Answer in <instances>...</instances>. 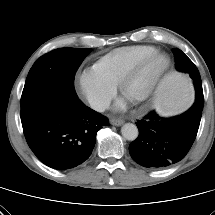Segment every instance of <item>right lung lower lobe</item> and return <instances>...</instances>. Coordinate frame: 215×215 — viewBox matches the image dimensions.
<instances>
[{
    "label": "right lung lower lobe",
    "instance_id": "right-lung-lower-lobe-1",
    "mask_svg": "<svg viewBox=\"0 0 215 215\" xmlns=\"http://www.w3.org/2000/svg\"><path fill=\"white\" fill-rule=\"evenodd\" d=\"M108 119L84 105L75 91L49 103L33 121L23 126L27 143L45 165L72 169L91 155L97 131Z\"/></svg>",
    "mask_w": 215,
    "mask_h": 215
}]
</instances>
